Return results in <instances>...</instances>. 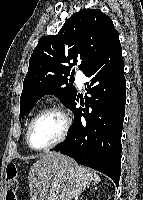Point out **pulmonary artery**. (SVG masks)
Segmentation results:
<instances>
[{
    "instance_id": "pulmonary-artery-1",
    "label": "pulmonary artery",
    "mask_w": 143,
    "mask_h": 200,
    "mask_svg": "<svg viewBox=\"0 0 143 200\" xmlns=\"http://www.w3.org/2000/svg\"><path fill=\"white\" fill-rule=\"evenodd\" d=\"M85 81H86L85 75L81 71H78L76 73V83L80 89L83 87Z\"/></svg>"
}]
</instances>
